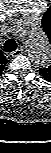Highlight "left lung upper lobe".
Here are the masks:
<instances>
[{
    "mask_svg": "<svg viewBox=\"0 0 51 153\" xmlns=\"http://www.w3.org/2000/svg\"><path fill=\"white\" fill-rule=\"evenodd\" d=\"M42 27L51 43V7L43 15ZM39 71L45 80L51 81V64L48 67L40 68Z\"/></svg>",
    "mask_w": 51,
    "mask_h": 153,
    "instance_id": "1",
    "label": "left lung upper lobe"
}]
</instances>
